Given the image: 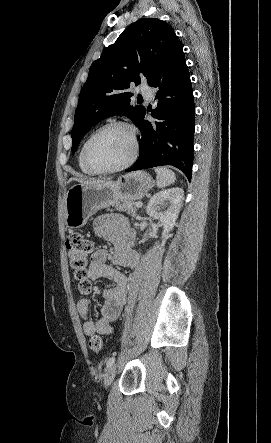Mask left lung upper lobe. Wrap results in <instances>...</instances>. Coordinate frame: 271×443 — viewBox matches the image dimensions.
Returning a JSON list of instances; mask_svg holds the SVG:
<instances>
[{"instance_id":"obj_1","label":"left lung upper lobe","mask_w":271,"mask_h":443,"mask_svg":"<svg viewBox=\"0 0 271 443\" xmlns=\"http://www.w3.org/2000/svg\"><path fill=\"white\" fill-rule=\"evenodd\" d=\"M181 42L173 29L156 18H143L127 27L116 42L94 61L75 112L71 137L72 153L82 137L101 120L117 114L127 115L136 126L145 108L131 106V83L150 80L171 51Z\"/></svg>"}]
</instances>
